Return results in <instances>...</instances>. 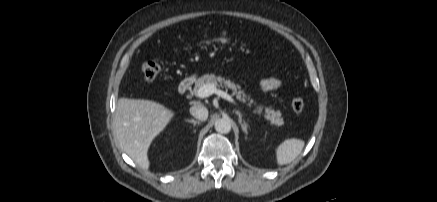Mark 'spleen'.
I'll list each match as a JSON object with an SVG mask.
<instances>
[{
	"mask_svg": "<svg viewBox=\"0 0 437 202\" xmlns=\"http://www.w3.org/2000/svg\"><path fill=\"white\" fill-rule=\"evenodd\" d=\"M305 142L301 139L291 138L283 141L276 148V159L279 165H286L294 161L302 152Z\"/></svg>",
	"mask_w": 437,
	"mask_h": 202,
	"instance_id": "obj_1",
	"label": "spleen"
}]
</instances>
